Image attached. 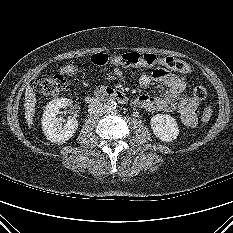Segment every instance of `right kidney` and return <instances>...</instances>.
<instances>
[{
  "label": "right kidney",
  "mask_w": 233,
  "mask_h": 233,
  "mask_svg": "<svg viewBox=\"0 0 233 233\" xmlns=\"http://www.w3.org/2000/svg\"><path fill=\"white\" fill-rule=\"evenodd\" d=\"M69 99L58 98L50 101L44 110L42 117V130L48 140L54 143H64L69 140L78 128V121L75 117H69L64 123L63 118H57L60 108L69 105Z\"/></svg>",
  "instance_id": "1"
}]
</instances>
